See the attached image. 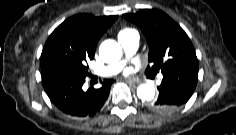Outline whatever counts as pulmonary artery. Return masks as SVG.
<instances>
[{"mask_svg":"<svg viewBox=\"0 0 236 135\" xmlns=\"http://www.w3.org/2000/svg\"><path fill=\"white\" fill-rule=\"evenodd\" d=\"M118 39L124 49L126 56H131L137 51L138 46H139V36L137 33H134L131 35H123V36L118 37ZM125 63H126V60L122 59L108 66L97 69L94 71V73L101 76L115 75L122 70ZM161 77L162 76L160 75V78Z\"/></svg>","mask_w":236,"mask_h":135,"instance_id":"obj_1","label":"pulmonary artery"}]
</instances>
